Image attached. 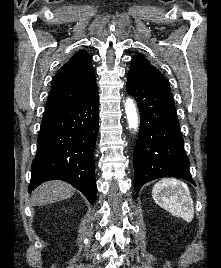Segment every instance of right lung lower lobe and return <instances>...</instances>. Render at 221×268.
I'll return each instance as SVG.
<instances>
[{"mask_svg":"<svg viewBox=\"0 0 221 268\" xmlns=\"http://www.w3.org/2000/svg\"><path fill=\"white\" fill-rule=\"evenodd\" d=\"M98 91L76 103L46 109L31 165L28 191L59 179L80 190L91 204L96 195L94 155L98 133Z\"/></svg>","mask_w":221,"mask_h":268,"instance_id":"98d812e1","label":"right lung lower lobe"}]
</instances>
